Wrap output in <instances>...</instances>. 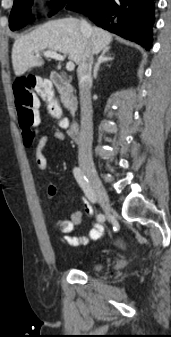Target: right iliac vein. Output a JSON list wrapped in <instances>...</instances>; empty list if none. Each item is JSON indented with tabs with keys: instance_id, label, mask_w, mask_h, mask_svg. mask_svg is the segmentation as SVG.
<instances>
[{
	"instance_id": "obj_1",
	"label": "right iliac vein",
	"mask_w": 171,
	"mask_h": 337,
	"mask_svg": "<svg viewBox=\"0 0 171 337\" xmlns=\"http://www.w3.org/2000/svg\"><path fill=\"white\" fill-rule=\"evenodd\" d=\"M82 169L92 185L96 200L98 201V203L100 204L104 212L107 215H110L111 205H110L109 197L107 195V192L104 186L102 185L98 177V174L95 168L92 165H88L84 163L82 164Z\"/></svg>"
}]
</instances>
